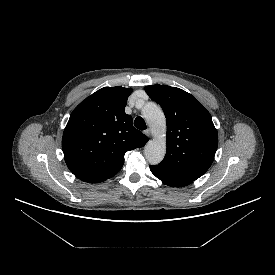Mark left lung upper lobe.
<instances>
[{"label":"left lung upper lobe","instance_id":"obj_1","mask_svg":"<svg viewBox=\"0 0 275 275\" xmlns=\"http://www.w3.org/2000/svg\"><path fill=\"white\" fill-rule=\"evenodd\" d=\"M145 91L160 104L167 120V151L158 166L195 181L211 166L218 147L210 113L182 89L156 84Z\"/></svg>","mask_w":275,"mask_h":275}]
</instances>
